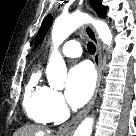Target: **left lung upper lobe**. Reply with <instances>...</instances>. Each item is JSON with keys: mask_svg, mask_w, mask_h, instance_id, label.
I'll use <instances>...</instances> for the list:
<instances>
[{"mask_svg": "<svg viewBox=\"0 0 136 136\" xmlns=\"http://www.w3.org/2000/svg\"><path fill=\"white\" fill-rule=\"evenodd\" d=\"M90 2H91L93 9L97 12V14L100 17L105 18L106 17V7L102 5L101 0H90ZM51 22H52L51 15H48L43 20V23H42L40 30H39L37 37H36L35 46H37L41 42L43 37L46 35Z\"/></svg>", "mask_w": 136, "mask_h": 136, "instance_id": "obj_1", "label": "left lung upper lobe"}]
</instances>
